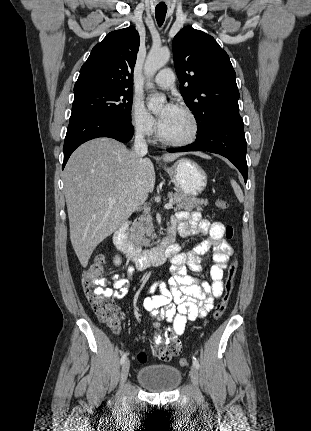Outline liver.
<instances>
[{"mask_svg": "<svg viewBox=\"0 0 311 431\" xmlns=\"http://www.w3.org/2000/svg\"><path fill=\"white\" fill-rule=\"evenodd\" d=\"M180 156L164 154L161 160L174 162ZM63 182L71 243L87 267L96 245L146 202L156 176L149 158H138L111 138H96L73 152ZM108 198L116 204L109 206Z\"/></svg>", "mask_w": 311, "mask_h": 431, "instance_id": "obj_1", "label": "liver"}]
</instances>
